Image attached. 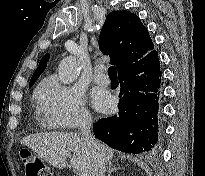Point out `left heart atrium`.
<instances>
[{
    "mask_svg": "<svg viewBox=\"0 0 205 176\" xmlns=\"http://www.w3.org/2000/svg\"><path fill=\"white\" fill-rule=\"evenodd\" d=\"M92 97L93 104L99 111H108L113 106V99L106 92L94 91Z\"/></svg>",
    "mask_w": 205,
    "mask_h": 176,
    "instance_id": "39dd6f15",
    "label": "left heart atrium"
}]
</instances>
